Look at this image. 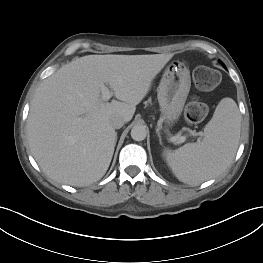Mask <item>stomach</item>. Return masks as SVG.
<instances>
[{
  "label": "stomach",
  "mask_w": 263,
  "mask_h": 263,
  "mask_svg": "<svg viewBox=\"0 0 263 263\" xmlns=\"http://www.w3.org/2000/svg\"><path fill=\"white\" fill-rule=\"evenodd\" d=\"M191 87L190 72L179 62H171L164 70L157 89L160 111L168 125L176 122L183 110Z\"/></svg>",
  "instance_id": "0dacf381"
}]
</instances>
